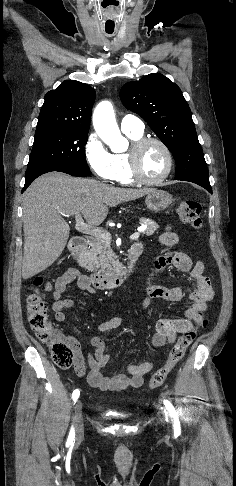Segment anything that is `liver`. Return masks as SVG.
Masks as SVG:
<instances>
[{"mask_svg":"<svg viewBox=\"0 0 236 486\" xmlns=\"http://www.w3.org/2000/svg\"><path fill=\"white\" fill-rule=\"evenodd\" d=\"M152 191L117 188L60 172L37 178L23 194V279L45 270L61 255L70 233L63 214H80L88 224L98 226L107 217L109 207Z\"/></svg>","mask_w":236,"mask_h":486,"instance_id":"1","label":"liver"}]
</instances>
